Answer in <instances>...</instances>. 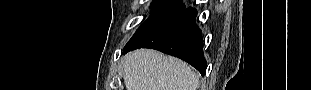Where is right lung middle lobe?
<instances>
[{"instance_id": "obj_1", "label": "right lung middle lobe", "mask_w": 311, "mask_h": 90, "mask_svg": "<svg viewBox=\"0 0 311 90\" xmlns=\"http://www.w3.org/2000/svg\"><path fill=\"white\" fill-rule=\"evenodd\" d=\"M151 7L153 8L151 16L137 29L129 40V44L137 42L147 34L165 25L185 9L180 0H154Z\"/></svg>"}]
</instances>
